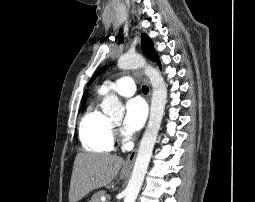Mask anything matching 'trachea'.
Wrapping results in <instances>:
<instances>
[{"mask_svg":"<svg viewBox=\"0 0 255 202\" xmlns=\"http://www.w3.org/2000/svg\"><path fill=\"white\" fill-rule=\"evenodd\" d=\"M148 91H149V88H148L146 85H144V86L142 87V92H143L144 94H146V93H148Z\"/></svg>","mask_w":255,"mask_h":202,"instance_id":"3493384b","label":"trachea"}]
</instances>
